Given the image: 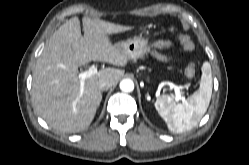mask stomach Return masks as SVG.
I'll list each match as a JSON object with an SVG mask.
<instances>
[{
    "instance_id": "obj_1",
    "label": "stomach",
    "mask_w": 249,
    "mask_h": 165,
    "mask_svg": "<svg viewBox=\"0 0 249 165\" xmlns=\"http://www.w3.org/2000/svg\"><path fill=\"white\" fill-rule=\"evenodd\" d=\"M116 46L132 58H140L150 49L148 38L142 34L138 37L122 41L116 44Z\"/></svg>"
}]
</instances>
